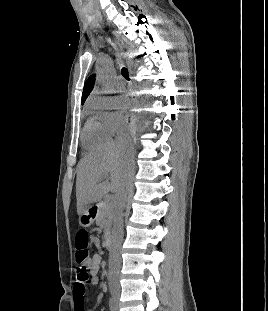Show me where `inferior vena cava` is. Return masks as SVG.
<instances>
[{
  "instance_id": "602c4592",
  "label": "inferior vena cava",
  "mask_w": 268,
  "mask_h": 311,
  "mask_svg": "<svg viewBox=\"0 0 268 311\" xmlns=\"http://www.w3.org/2000/svg\"><path fill=\"white\" fill-rule=\"evenodd\" d=\"M119 142L124 145L123 146V152L128 153V162H127V177L126 181L124 183L123 188L117 193V210L114 214L113 219V229H112V250L110 252L109 256V265L111 268L110 273V285L115 286L116 288H119V280H118V274H119V267L121 263L119 248L121 247L122 241H123V210L125 207V201L127 198V195L130 192V172H131V161L129 159V152H132V147H128V142L124 141L122 138L119 139ZM116 268V271L113 273L112 269Z\"/></svg>"
}]
</instances>
